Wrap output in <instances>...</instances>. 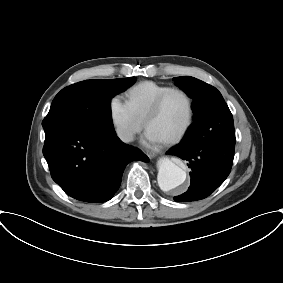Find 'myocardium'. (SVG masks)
<instances>
[{
	"label": "myocardium",
	"instance_id": "obj_1",
	"mask_svg": "<svg viewBox=\"0 0 283 283\" xmlns=\"http://www.w3.org/2000/svg\"><path fill=\"white\" fill-rule=\"evenodd\" d=\"M174 92L180 93L185 97V99L187 101L188 114H187V119H186L183 127L181 128V130L177 134H175L173 137L163 141V143H165L167 145L174 144V143H177L178 141H180L186 135V133L188 132L189 128L192 125V122H193V119H194V102H193V98L190 95V93L187 90H185L184 88H181V87H170V88L166 89L154 101V103L150 107L149 111L147 112V114H146V116L143 120L144 128L147 130L149 122L159 113V111L161 110L166 98L171 93H174Z\"/></svg>",
	"mask_w": 283,
	"mask_h": 283
}]
</instances>
